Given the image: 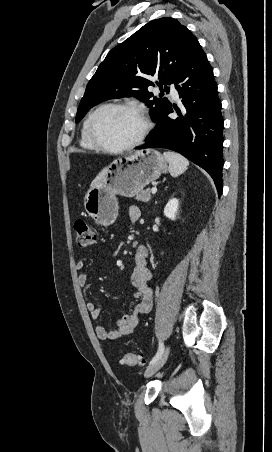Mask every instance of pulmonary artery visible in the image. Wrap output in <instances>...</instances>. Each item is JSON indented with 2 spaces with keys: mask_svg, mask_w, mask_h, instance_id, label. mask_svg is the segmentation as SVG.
<instances>
[{
  "mask_svg": "<svg viewBox=\"0 0 272 452\" xmlns=\"http://www.w3.org/2000/svg\"><path fill=\"white\" fill-rule=\"evenodd\" d=\"M170 93L174 98H176L178 96L177 91L173 87H171Z\"/></svg>",
  "mask_w": 272,
  "mask_h": 452,
  "instance_id": "pulmonary-artery-1",
  "label": "pulmonary artery"
}]
</instances>
